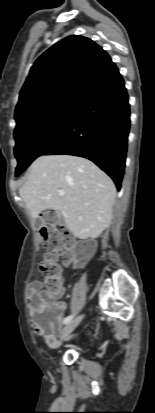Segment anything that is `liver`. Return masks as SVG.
Returning <instances> with one entry per match:
<instances>
[{
	"instance_id": "6515ba94",
	"label": "liver",
	"mask_w": 155,
	"mask_h": 413,
	"mask_svg": "<svg viewBox=\"0 0 155 413\" xmlns=\"http://www.w3.org/2000/svg\"><path fill=\"white\" fill-rule=\"evenodd\" d=\"M19 194L33 219L52 209L62 214L75 237L95 239L111 222L116 188L90 160L59 154L37 158Z\"/></svg>"
}]
</instances>
